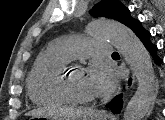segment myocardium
<instances>
[{
  "label": "myocardium",
  "instance_id": "myocardium-1",
  "mask_svg": "<svg viewBox=\"0 0 165 120\" xmlns=\"http://www.w3.org/2000/svg\"><path fill=\"white\" fill-rule=\"evenodd\" d=\"M73 68H80L81 67H74V66H67L63 73H62V77H61V90L63 92V94L66 96V98L71 101V102H75V103H81V104H91L96 102V97H84V96H80L77 93H75V91L72 89L71 84H70V71Z\"/></svg>",
  "mask_w": 165,
  "mask_h": 120
}]
</instances>
